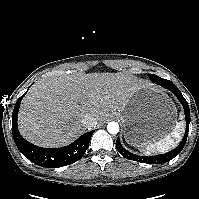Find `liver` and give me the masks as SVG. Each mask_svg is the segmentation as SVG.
I'll return each instance as SVG.
<instances>
[{
    "label": "liver",
    "mask_w": 199,
    "mask_h": 199,
    "mask_svg": "<svg viewBox=\"0 0 199 199\" xmlns=\"http://www.w3.org/2000/svg\"><path fill=\"white\" fill-rule=\"evenodd\" d=\"M139 89L136 79L122 74L39 81L22 101L19 129L26 139L36 144L62 146L93 127L81 122L86 115L93 116L97 124L107 119L110 112L123 109ZM170 105L175 115L176 109Z\"/></svg>",
    "instance_id": "obj_1"
}]
</instances>
